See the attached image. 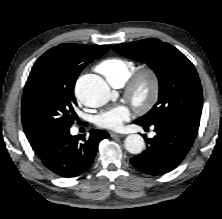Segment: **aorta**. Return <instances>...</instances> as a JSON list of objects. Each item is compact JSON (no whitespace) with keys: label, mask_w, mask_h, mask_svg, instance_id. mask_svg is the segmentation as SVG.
Masks as SVG:
<instances>
[{"label":"aorta","mask_w":222,"mask_h":219,"mask_svg":"<svg viewBox=\"0 0 222 219\" xmlns=\"http://www.w3.org/2000/svg\"><path fill=\"white\" fill-rule=\"evenodd\" d=\"M77 98L86 106L97 108L106 104L111 96L106 82L99 76L87 74L80 77L75 86ZM125 148L132 154L143 151L145 143L139 134L128 135L124 141Z\"/></svg>","instance_id":"762f6f07"}]
</instances>
